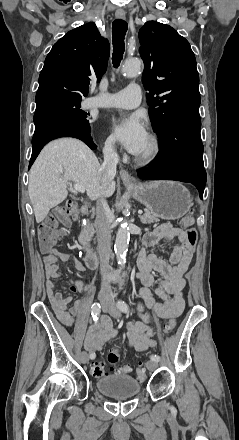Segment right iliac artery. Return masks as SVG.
<instances>
[{"instance_id":"82829eb1","label":"right iliac artery","mask_w":239,"mask_h":440,"mask_svg":"<svg viewBox=\"0 0 239 440\" xmlns=\"http://www.w3.org/2000/svg\"><path fill=\"white\" fill-rule=\"evenodd\" d=\"M101 312V306L99 303H94L91 307V314L93 317V320L96 321L100 315ZM90 358L94 359L95 358V354L91 353L90 354Z\"/></svg>"}]
</instances>
